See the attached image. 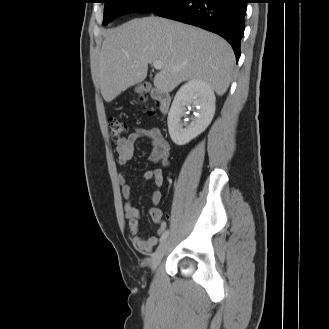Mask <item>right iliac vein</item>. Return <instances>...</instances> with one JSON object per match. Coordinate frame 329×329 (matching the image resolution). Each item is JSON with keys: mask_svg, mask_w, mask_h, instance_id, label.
<instances>
[{"mask_svg": "<svg viewBox=\"0 0 329 329\" xmlns=\"http://www.w3.org/2000/svg\"><path fill=\"white\" fill-rule=\"evenodd\" d=\"M167 241H163L159 247L157 248V250L155 251L153 257H152V261H151V268L152 271H154L157 266L159 265V263L161 262V259L163 258L166 250H167Z\"/></svg>", "mask_w": 329, "mask_h": 329, "instance_id": "1", "label": "right iliac vein"}]
</instances>
